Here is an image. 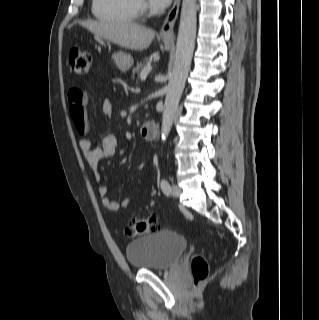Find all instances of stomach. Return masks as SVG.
<instances>
[{"label":"stomach","instance_id":"stomach-1","mask_svg":"<svg viewBox=\"0 0 319 320\" xmlns=\"http://www.w3.org/2000/svg\"><path fill=\"white\" fill-rule=\"evenodd\" d=\"M165 47L168 49L170 44L164 40ZM113 60L116 63V66L121 72H126L133 65V58L130 54L123 51H119L113 55Z\"/></svg>","mask_w":319,"mask_h":320}]
</instances>
